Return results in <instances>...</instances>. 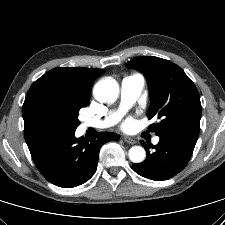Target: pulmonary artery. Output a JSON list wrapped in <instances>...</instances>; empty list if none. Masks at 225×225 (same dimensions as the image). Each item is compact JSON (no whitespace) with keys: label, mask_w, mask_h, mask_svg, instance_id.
Listing matches in <instances>:
<instances>
[{"label":"pulmonary artery","mask_w":225,"mask_h":225,"mask_svg":"<svg viewBox=\"0 0 225 225\" xmlns=\"http://www.w3.org/2000/svg\"><path fill=\"white\" fill-rule=\"evenodd\" d=\"M145 85V79L141 74H132L123 78L121 82V103L118 111L113 112L103 119H89L85 122L87 127L107 128L114 125L121 115L131 107L140 97ZM159 137L153 139L157 144Z\"/></svg>","instance_id":"1"}]
</instances>
